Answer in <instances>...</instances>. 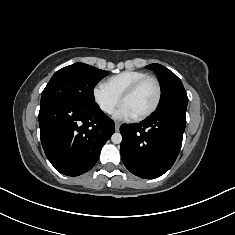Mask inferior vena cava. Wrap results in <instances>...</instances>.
<instances>
[{"mask_svg": "<svg viewBox=\"0 0 235 235\" xmlns=\"http://www.w3.org/2000/svg\"><path fill=\"white\" fill-rule=\"evenodd\" d=\"M112 111V108H109L108 112H111Z\"/></svg>", "mask_w": 235, "mask_h": 235, "instance_id": "obj_1", "label": "inferior vena cava"}]
</instances>
